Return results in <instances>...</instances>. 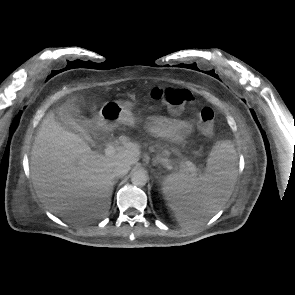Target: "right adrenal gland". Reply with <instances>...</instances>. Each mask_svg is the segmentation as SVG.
<instances>
[{"label": "right adrenal gland", "mask_w": 295, "mask_h": 295, "mask_svg": "<svg viewBox=\"0 0 295 295\" xmlns=\"http://www.w3.org/2000/svg\"><path fill=\"white\" fill-rule=\"evenodd\" d=\"M117 181H118V179H115V180L113 181V183H114V184H116V183H117Z\"/></svg>", "instance_id": "2a0ac1e0"}]
</instances>
